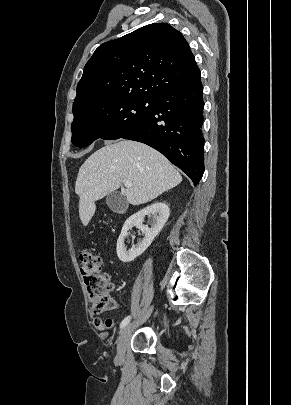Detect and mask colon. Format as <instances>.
<instances>
[{"instance_id": "1", "label": "colon", "mask_w": 291, "mask_h": 405, "mask_svg": "<svg viewBox=\"0 0 291 405\" xmlns=\"http://www.w3.org/2000/svg\"><path fill=\"white\" fill-rule=\"evenodd\" d=\"M79 263L94 313L100 314L108 310L112 305L111 284L108 275L102 272L101 257L84 249L80 252Z\"/></svg>"}]
</instances>
